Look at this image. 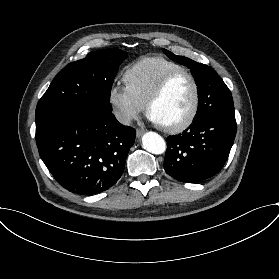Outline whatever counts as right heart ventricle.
<instances>
[{
    "instance_id": "right-heart-ventricle-1",
    "label": "right heart ventricle",
    "mask_w": 279,
    "mask_h": 279,
    "mask_svg": "<svg viewBox=\"0 0 279 279\" xmlns=\"http://www.w3.org/2000/svg\"><path fill=\"white\" fill-rule=\"evenodd\" d=\"M185 69L164 57H146L136 62L125 74L127 85L144 101L169 73Z\"/></svg>"
}]
</instances>
